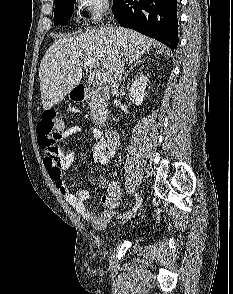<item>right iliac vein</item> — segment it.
Returning <instances> with one entry per match:
<instances>
[{
	"instance_id": "right-iliac-vein-1",
	"label": "right iliac vein",
	"mask_w": 233,
	"mask_h": 294,
	"mask_svg": "<svg viewBox=\"0 0 233 294\" xmlns=\"http://www.w3.org/2000/svg\"><path fill=\"white\" fill-rule=\"evenodd\" d=\"M133 214H134V213H133ZM133 214H127V215H125V216L121 219V221L119 222V224H120V225H123L124 223H126L127 221H129V220L132 218Z\"/></svg>"
}]
</instances>
